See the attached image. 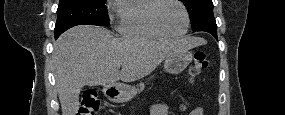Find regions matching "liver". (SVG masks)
Returning a JSON list of instances; mask_svg holds the SVG:
<instances>
[{"label":"liver","mask_w":285,"mask_h":115,"mask_svg":"<svg viewBox=\"0 0 285 115\" xmlns=\"http://www.w3.org/2000/svg\"><path fill=\"white\" fill-rule=\"evenodd\" d=\"M203 43V39L190 36L165 41L132 36L115 38L109 30L91 25L67 30L55 42L52 54L62 115H76L83 86L141 79L166 57Z\"/></svg>","instance_id":"liver-1"}]
</instances>
